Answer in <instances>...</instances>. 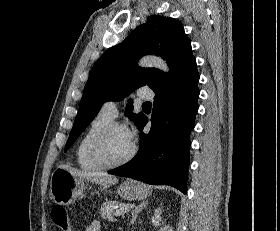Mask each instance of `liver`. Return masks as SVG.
Masks as SVG:
<instances>
[{"mask_svg":"<svg viewBox=\"0 0 280 231\" xmlns=\"http://www.w3.org/2000/svg\"><path fill=\"white\" fill-rule=\"evenodd\" d=\"M59 167L68 169L76 177H85L88 181H94V183H100V185H108V183H117L118 181L115 175H104L102 171H81V169H74V167H69V165H59Z\"/></svg>","mask_w":280,"mask_h":231,"instance_id":"1","label":"liver"}]
</instances>
